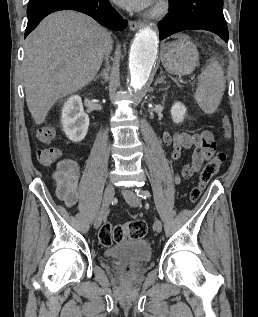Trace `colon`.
Segmentation results:
<instances>
[{"mask_svg": "<svg viewBox=\"0 0 258 317\" xmlns=\"http://www.w3.org/2000/svg\"><path fill=\"white\" fill-rule=\"evenodd\" d=\"M221 128L223 135L226 139H229L232 134L231 122L227 116H223L221 121ZM61 153L58 148H45L37 151L36 156L38 161L44 165H51L57 161ZM226 160V154L224 152H218L216 155L205 165L200 175L198 185L192 190L190 199L195 202L200 197L203 189L213 179V177L219 172L222 164ZM147 226L144 222L139 220L129 221L125 224L112 225L109 222H105L98 233V238L101 244L110 246L114 243H119L125 239H141L146 235ZM128 268L124 269V272H128Z\"/></svg>", "mask_w": 258, "mask_h": 317, "instance_id": "colon-1", "label": "colon"}]
</instances>
